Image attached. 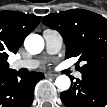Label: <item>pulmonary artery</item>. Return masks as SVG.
<instances>
[{
  "instance_id": "e3ab8cb5",
  "label": "pulmonary artery",
  "mask_w": 107,
  "mask_h": 107,
  "mask_svg": "<svg viewBox=\"0 0 107 107\" xmlns=\"http://www.w3.org/2000/svg\"><path fill=\"white\" fill-rule=\"evenodd\" d=\"M43 38L45 40L47 53L55 54L61 49L62 43H63V38L60 35V33H58L57 31L51 30V29H46L43 32ZM39 64H40L39 61L33 60V59L17 60L13 63L12 67L15 69H19V68L34 69V68L38 67ZM75 77H77V78L81 77V73L76 72Z\"/></svg>"
}]
</instances>
